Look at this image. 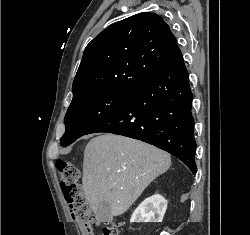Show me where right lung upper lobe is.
Masks as SVG:
<instances>
[{
    "label": "right lung upper lobe",
    "instance_id": "obj_1",
    "mask_svg": "<svg viewBox=\"0 0 250 235\" xmlns=\"http://www.w3.org/2000/svg\"><path fill=\"white\" fill-rule=\"evenodd\" d=\"M177 40L155 13L116 22L85 48L73 82V99L99 90L135 91L171 62Z\"/></svg>",
    "mask_w": 250,
    "mask_h": 235
}]
</instances>
